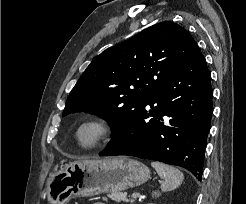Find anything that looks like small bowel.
<instances>
[{
	"mask_svg": "<svg viewBox=\"0 0 246 204\" xmlns=\"http://www.w3.org/2000/svg\"><path fill=\"white\" fill-rule=\"evenodd\" d=\"M94 204H105V203H102V202H98V203H94Z\"/></svg>",
	"mask_w": 246,
	"mask_h": 204,
	"instance_id": "1",
	"label": "small bowel"
}]
</instances>
